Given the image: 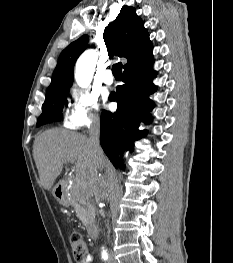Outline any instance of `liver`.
<instances>
[{
    "label": "liver",
    "instance_id": "liver-1",
    "mask_svg": "<svg viewBox=\"0 0 233 263\" xmlns=\"http://www.w3.org/2000/svg\"><path fill=\"white\" fill-rule=\"evenodd\" d=\"M33 156L42 186L49 190L60 175L63 165L76 162L77 179H92L104 165L105 156L95 152L87 136L63 129H50L34 141Z\"/></svg>",
    "mask_w": 233,
    "mask_h": 263
}]
</instances>
